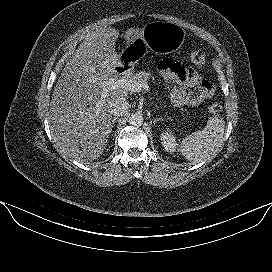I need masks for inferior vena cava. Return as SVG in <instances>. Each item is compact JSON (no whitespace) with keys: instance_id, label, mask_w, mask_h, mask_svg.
<instances>
[{"instance_id":"inferior-vena-cava-1","label":"inferior vena cava","mask_w":272,"mask_h":272,"mask_svg":"<svg viewBox=\"0 0 272 272\" xmlns=\"http://www.w3.org/2000/svg\"><path fill=\"white\" fill-rule=\"evenodd\" d=\"M129 103L125 99H117L111 105V111L114 116L120 117L128 112Z\"/></svg>"}]
</instances>
